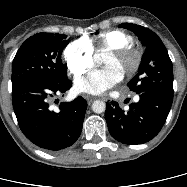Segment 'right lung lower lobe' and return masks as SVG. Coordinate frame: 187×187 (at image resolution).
<instances>
[{"label": "right lung lower lobe", "instance_id": "obj_1", "mask_svg": "<svg viewBox=\"0 0 187 187\" xmlns=\"http://www.w3.org/2000/svg\"><path fill=\"white\" fill-rule=\"evenodd\" d=\"M72 86L62 82L26 81L12 88L13 109L19 127L35 145L48 151H59L79 138L87 102L79 96L62 102L57 112L49 109L50 98L65 93ZM64 96V94H63Z\"/></svg>", "mask_w": 187, "mask_h": 187}]
</instances>
